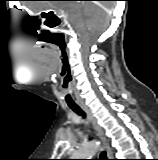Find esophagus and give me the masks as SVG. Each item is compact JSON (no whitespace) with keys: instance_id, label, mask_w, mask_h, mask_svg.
<instances>
[{"instance_id":"esophagus-1","label":"esophagus","mask_w":158,"mask_h":160,"mask_svg":"<svg viewBox=\"0 0 158 160\" xmlns=\"http://www.w3.org/2000/svg\"><path fill=\"white\" fill-rule=\"evenodd\" d=\"M81 108L88 114V116H89L95 130H96V133L102 142V147L107 153L108 159H112L113 153H112V150L109 146V143L104 135L102 128L98 125L97 121L95 120V118L93 117V115L91 114V112L89 111V109L87 107L81 106Z\"/></svg>"}]
</instances>
